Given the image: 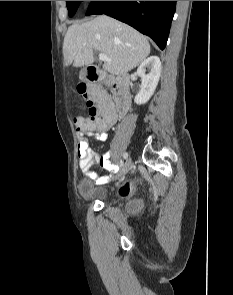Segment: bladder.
<instances>
[{
	"label": "bladder",
	"instance_id": "obj_1",
	"mask_svg": "<svg viewBox=\"0 0 233 295\" xmlns=\"http://www.w3.org/2000/svg\"><path fill=\"white\" fill-rule=\"evenodd\" d=\"M77 190L79 195L83 199L91 200V199H97L100 198L103 195V191L99 189L96 184L89 180V179H83L78 183ZM133 207L139 206V201H134L132 203Z\"/></svg>",
	"mask_w": 233,
	"mask_h": 295
}]
</instances>
